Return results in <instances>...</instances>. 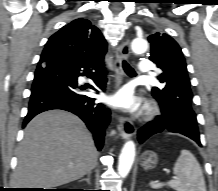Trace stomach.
Here are the masks:
<instances>
[{
    "label": "stomach",
    "mask_w": 218,
    "mask_h": 191,
    "mask_svg": "<svg viewBox=\"0 0 218 191\" xmlns=\"http://www.w3.org/2000/svg\"><path fill=\"white\" fill-rule=\"evenodd\" d=\"M158 164V155L151 150H147L142 153L140 157V165L145 170H151L155 168Z\"/></svg>",
    "instance_id": "stomach-1"
}]
</instances>
